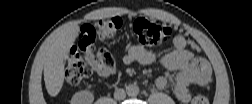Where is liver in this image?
Segmentation results:
<instances>
[{
	"label": "liver",
	"instance_id": "6515ba94",
	"mask_svg": "<svg viewBox=\"0 0 252 104\" xmlns=\"http://www.w3.org/2000/svg\"><path fill=\"white\" fill-rule=\"evenodd\" d=\"M79 26L68 25L59 30L50 42L44 63V81L47 92L55 97L59 94L65 73V61L68 58L69 49L75 42Z\"/></svg>",
	"mask_w": 252,
	"mask_h": 104
}]
</instances>
